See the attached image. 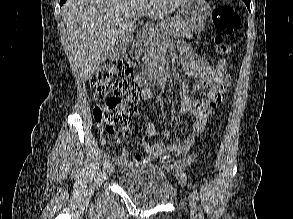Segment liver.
<instances>
[{"mask_svg":"<svg viewBox=\"0 0 293 219\" xmlns=\"http://www.w3.org/2000/svg\"><path fill=\"white\" fill-rule=\"evenodd\" d=\"M186 0H67L62 19L73 62L83 80L89 79L114 50L121 35L136 29L137 15L152 20L172 14Z\"/></svg>","mask_w":293,"mask_h":219,"instance_id":"6515ba94","label":"liver"}]
</instances>
